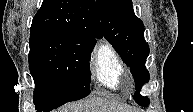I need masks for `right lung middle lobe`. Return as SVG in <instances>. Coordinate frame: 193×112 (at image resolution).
<instances>
[{"label":"right lung middle lobe","mask_w":193,"mask_h":112,"mask_svg":"<svg viewBox=\"0 0 193 112\" xmlns=\"http://www.w3.org/2000/svg\"><path fill=\"white\" fill-rule=\"evenodd\" d=\"M95 42L67 33L31 34L29 68L36 110L49 111L90 94L89 60Z\"/></svg>","instance_id":"dd1d6c3e"}]
</instances>
